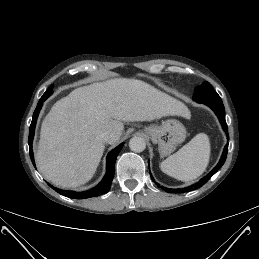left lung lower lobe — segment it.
<instances>
[{
  "label": "left lung lower lobe",
  "instance_id": "obj_1",
  "mask_svg": "<svg viewBox=\"0 0 259 259\" xmlns=\"http://www.w3.org/2000/svg\"><path fill=\"white\" fill-rule=\"evenodd\" d=\"M204 104L208 105L216 113V115L218 116V118H219V120H220V122L222 124V127H223L224 131L227 133V139L229 140L228 128H227V124H226V121H225V109H224L222 101H220V102H204ZM227 152H228V144H226V146L224 148V151H223V154H222V157H221L219 163L217 164V166L210 173H208L205 177H203L199 182H197V183H195V184H193V185H191L189 187H186L184 189H167V188H164L163 186H161L162 189L167 191V192H169V193H181V192L191 191V190L200 188L224 164V162L226 160V157H227ZM150 176H151L152 180L155 182V180L152 177L151 173H150ZM156 185H158V187H160V185L158 183H156Z\"/></svg>",
  "mask_w": 259,
  "mask_h": 259
}]
</instances>
